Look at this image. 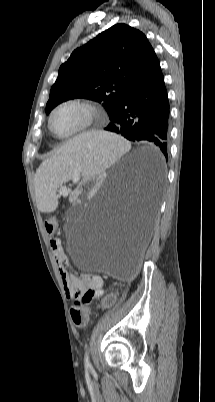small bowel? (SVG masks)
<instances>
[{"mask_svg":"<svg viewBox=\"0 0 215 402\" xmlns=\"http://www.w3.org/2000/svg\"><path fill=\"white\" fill-rule=\"evenodd\" d=\"M49 242L59 265L64 290L68 298L80 299L89 292L93 293V298L95 296L98 297L104 294V290L102 288V278L100 276L92 275V277H89L87 275H83L82 277H78L68 273L62 266L66 257L61 240L58 237L52 236L50 237Z\"/></svg>","mask_w":215,"mask_h":402,"instance_id":"1","label":"small bowel"}]
</instances>
